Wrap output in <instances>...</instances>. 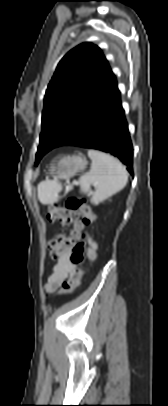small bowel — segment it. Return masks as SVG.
Masks as SVG:
<instances>
[{"instance_id": "obj_1", "label": "small bowel", "mask_w": 168, "mask_h": 406, "mask_svg": "<svg viewBox=\"0 0 168 406\" xmlns=\"http://www.w3.org/2000/svg\"><path fill=\"white\" fill-rule=\"evenodd\" d=\"M97 245L94 241L89 240L88 256L91 260L96 258ZM71 250L67 249L58 258L57 263L54 265L51 274L48 278L45 288L49 291L57 290L63 282L72 279L77 272L78 266L70 261Z\"/></svg>"}]
</instances>
